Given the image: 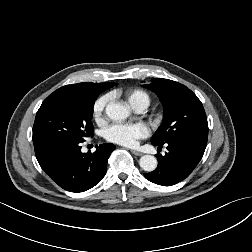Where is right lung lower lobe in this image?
Returning a JSON list of instances; mask_svg holds the SVG:
<instances>
[{
    "label": "right lung lower lobe",
    "mask_w": 252,
    "mask_h": 252,
    "mask_svg": "<svg viewBox=\"0 0 252 252\" xmlns=\"http://www.w3.org/2000/svg\"><path fill=\"white\" fill-rule=\"evenodd\" d=\"M36 158L43 171L61 188L70 192L86 191L105 176L113 144L96 146L94 153H82L79 142H34Z\"/></svg>",
    "instance_id": "right-lung-lower-lobe-1"
}]
</instances>
